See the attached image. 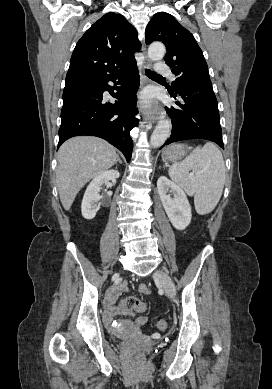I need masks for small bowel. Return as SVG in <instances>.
<instances>
[{
  "label": "small bowel",
  "instance_id": "obj_1",
  "mask_svg": "<svg viewBox=\"0 0 272 389\" xmlns=\"http://www.w3.org/2000/svg\"><path fill=\"white\" fill-rule=\"evenodd\" d=\"M140 291L142 293H145L147 294L148 293V288L146 287V285L142 284L140 285L139 287ZM126 290V287L125 286H121V287H118L116 288L112 294L108 297V299L106 300V308L108 310V312L111 314V313H118L120 310L117 309V308H113L112 305L115 301V299L122 293ZM146 322V318L144 317H141L137 320V323L138 324H143Z\"/></svg>",
  "mask_w": 272,
  "mask_h": 389
}]
</instances>
